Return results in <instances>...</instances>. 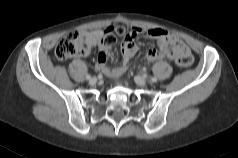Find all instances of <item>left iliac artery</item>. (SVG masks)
<instances>
[{"mask_svg":"<svg viewBox=\"0 0 238 158\" xmlns=\"http://www.w3.org/2000/svg\"><path fill=\"white\" fill-rule=\"evenodd\" d=\"M150 79H151L152 82H156L157 81V78H155V77H151Z\"/></svg>","mask_w":238,"mask_h":158,"instance_id":"1","label":"left iliac artery"}]
</instances>
